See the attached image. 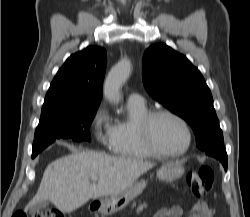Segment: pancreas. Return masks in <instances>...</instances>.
I'll return each mask as SVG.
<instances>
[{
	"label": "pancreas",
	"mask_w": 250,
	"mask_h": 217,
	"mask_svg": "<svg viewBox=\"0 0 250 217\" xmlns=\"http://www.w3.org/2000/svg\"><path fill=\"white\" fill-rule=\"evenodd\" d=\"M135 206V203L133 204V206L132 207H134ZM146 207V203H144V204H140L139 206H138V211H142L143 210V208H145Z\"/></svg>",
	"instance_id": "cf45deb5"
}]
</instances>
